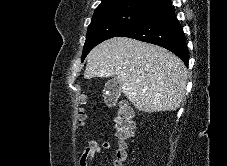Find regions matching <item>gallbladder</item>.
I'll list each match as a JSON object with an SVG mask.
<instances>
[{"mask_svg":"<svg viewBox=\"0 0 227 166\" xmlns=\"http://www.w3.org/2000/svg\"><path fill=\"white\" fill-rule=\"evenodd\" d=\"M122 83L116 79H109L103 90L104 102L108 106H113L121 95Z\"/></svg>","mask_w":227,"mask_h":166,"instance_id":"bac80fb5","label":"gallbladder"}]
</instances>
